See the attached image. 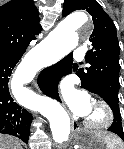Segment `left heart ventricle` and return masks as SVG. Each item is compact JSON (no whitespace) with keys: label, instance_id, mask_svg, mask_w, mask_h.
I'll return each mask as SVG.
<instances>
[{"label":"left heart ventricle","instance_id":"left-heart-ventricle-1","mask_svg":"<svg viewBox=\"0 0 124 149\" xmlns=\"http://www.w3.org/2000/svg\"><path fill=\"white\" fill-rule=\"evenodd\" d=\"M98 114H99L98 111L95 108L92 107V109H91V111H90V113L88 114L87 117L96 118V117H98Z\"/></svg>","mask_w":124,"mask_h":149}]
</instances>
